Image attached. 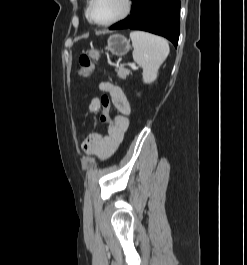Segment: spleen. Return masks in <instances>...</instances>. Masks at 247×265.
<instances>
[{
  "mask_svg": "<svg viewBox=\"0 0 247 265\" xmlns=\"http://www.w3.org/2000/svg\"><path fill=\"white\" fill-rule=\"evenodd\" d=\"M130 39L134 49L133 59L143 68V81L152 83L169 54L168 42L162 37L144 31H132Z\"/></svg>",
  "mask_w": 247,
  "mask_h": 265,
  "instance_id": "1",
  "label": "spleen"
}]
</instances>
